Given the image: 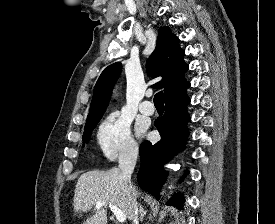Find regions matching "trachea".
Here are the masks:
<instances>
[{
	"label": "trachea",
	"mask_w": 275,
	"mask_h": 224,
	"mask_svg": "<svg viewBox=\"0 0 275 224\" xmlns=\"http://www.w3.org/2000/svg\"><path fill=\"white\" fill-rule=\"evenodd\" d=\"M154 104L155 106H164V96H163V91L158 92L154 96Z\"/></svg>",
	"instance_id": "obj_1"
}]
</instances>
